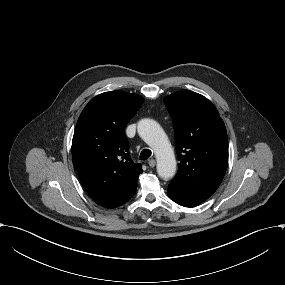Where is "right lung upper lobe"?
<instances>
[{
    "instance_id": "obj_1",
    "label": "right lung upper lobe",
    "mask_w": 285,
    "mask_h": 285,
    "mask_svg": "<svg viewBox=\"0 0 285 285\" xmlns=\"http://www.w3.org/2000/svg\"><path fill=\"white\" fill-rule=\"evenodd\" d=\"M143 101L123 91L102 93L86 105L75 127L74 167L88 194L109 209L133 197L143 172L130 158L124 132Z\"/></svg>"
}]
</instances>
